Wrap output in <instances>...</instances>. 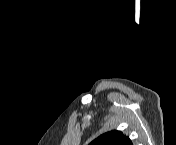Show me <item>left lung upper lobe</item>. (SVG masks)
Wrapping results in <instances>:
<instances>
[{"mask_svg": "<svg viewBox=\"0 0 176 145\" xmlns=\"http://www.w3.org/2000/svg\"><path fill=\"white\" fill-rule=\"evenodd\" d=\"M90 145H132V143L120 131L114 130L99 136Z\"/></svg>", "mask_w": 176, "mask_h": 145, "instance_id": "left-lung-upper-lobe-1", "label": "left lung upper lobe"}]
</instances>
